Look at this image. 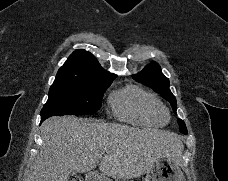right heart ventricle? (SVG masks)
<instances>
[{"label": "right heart ventricle", "mask_w": 228, "mask_h": 181, "mask_svg": "<svg viewBox=\"0 0 228 181\" xmlns=\"http://www.w3.org/2000/svg\"><path fill=\"white\" fill-rule=\"evenodd\" d=\"M116 116L124 121L160 126L167 120V111L152 95L137 87H127L112 97Z\"/></svg>", "instance_id": "1"}]
</instances>
